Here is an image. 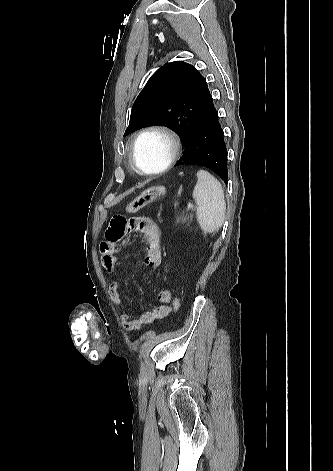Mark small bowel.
I'll list each match as a JSON object with an SVG mask.
<instances>
[{"label":"small bowel","mask_w":333,"mask_h":471,"mask_svg":"<svg viewBox=\"0 0 333 471\" xmlns=\"http://www.w3.org/2000/svg\"><path fill=\"white\" fill-rule=\"evenodd\" d=\"M136 233L142 237L145 253L144 263L147 267L157 268L162 262L161 232L157 225L149 218L138 216L127 219L124 215L115 214L111 217L106 231V238L100 244L102 264L106 272L115 271L118 263V252L130 242V235ZM121 279H114L109 286V297L114 305L120 307L122 312V324L129 332L138 331L144 326L150 325L169 315L172 301V293L169 290H161L157 294L159 304L133 319L125 311L120 295Z\"/></svg>","instance_id":"small-bowel-1"}]
</instances>
